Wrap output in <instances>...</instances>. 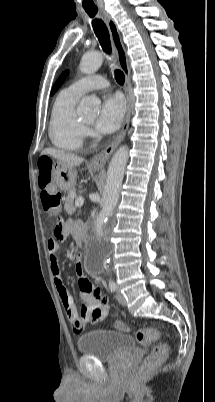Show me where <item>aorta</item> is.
I'll list each match as a JSON object with an SVG mask.
<instances>
[{
    "mask_svg": "<svg viewBox=\"0 0 215 402\" xmlns=\"http://www.w3.org/2000/svg\"><path fill=\"white\" fill-rule=\"evenodd\" d=\"M103 63V55L99 52H89L83 55L80 62V70L84 74L95 73ZM101 101L94 96L84 97L78 107V113L81 116L92 118L98 111ZM128 161V147L123 145L114 153L107 170L105 192L106 198L100 211L97 225V239L101 240L103 236L102 226L112 215L114 208L119 200V193L124 177L125 167ZM109 252L104 245H99L95 252V257L87 259L86 266L89 269H97L100 265H108Z\"/></svg>",
    "mask_w": 215,
    "mask_h": 402,
    "instance_id": "obj_1",
    "label": "aorta"
}]
</instances>
